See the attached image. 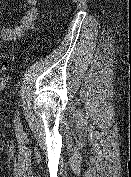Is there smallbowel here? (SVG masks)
<instances>
[{
    "label": "small bowel",
    "mask_w": 131,
    "mask_h": 177,
    "mask_svg": "<svg viewBox=\"0 0 131 177\" xmlns=\"http://www.w3.org/2000/svg\"><path fill=\"white\" fill-rule=\"evenodd\" d=\"M26 3L28 9L25 14L21 16L19 22L6 28H0V40L14 41L21 38L27 30L33 28L38 16V9L36 7L37 0H26Z\"/></svg>",
    "instance_id": "1"
}]
</instances>
